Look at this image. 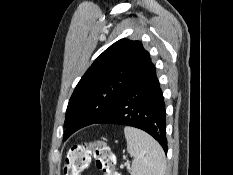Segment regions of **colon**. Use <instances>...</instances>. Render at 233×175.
Segmentation results:
<instances>
[{
    "label": "colon",
    "instance_id": "5ec220e1",
    "mask_svg": "<svg viewBox=\"0 0 233 175\" xmlns=\"http://www.w3.org/2000/svg\"><path fill=\"white\" fill-rule=\"evenodd\" d=\"M96 160L103 175H121L116 170V157L105 141L96 140L72 146L66 155L63 175H82L90 158Z\"/></svg>",
    "mask_w": 233,
    "mask_h": 175
}]
</instances>
